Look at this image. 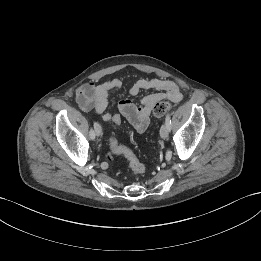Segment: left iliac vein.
<instances>
[{"instance_id": "obj_1", "label": "left iliac vein", "mask_w": 261, "mask_h": 261, "mask_svg": "<svg viewBox=\"0 0 261 261\" xmlns=\"http://www.w3.org/2000/svg\"><path fill=\"white\" fill-rule=\"evenodd\" d=\"M168 134H169V126L165 123L160 128V136L163 139H166L168 137Z\"/></svg>"}]
</instances>
